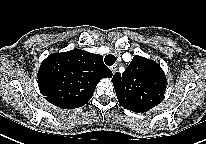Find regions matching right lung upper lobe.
Listing matches in <instances>:
<instances>
[{"label":"right lung upper lobe","mask_w":206,"mask_h":144,"mask_svg":"<svg viewBox=\"0 0 206 144\" xmlns=\"http://www.w3.org/2000/svg\"><path fill=\"white\" fill-rule=\"evenodd\" d=\"M112 77L99 54L81 49L48 56L38 72L40 92L53 105L74 109L92 97L101 78Z\"/></svg>","instance_id":"1"}]
</instances>
